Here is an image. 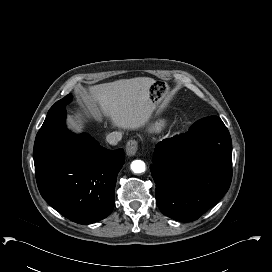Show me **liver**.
<instances>
[{
    "mask_svg": "<svg viewBox=\"0 0 272 272\" xmlns=\"http://www.w3.org/2000/svg\"><path fill=\"white\" fill-rule=\"evenodd\" d=\"M154 80L148 77L121 79L89 88L88 99L99 112L109 117L113 126L122 129H139L150 120L153 105L149 99V87ZM70 126L75 124L70 120Z\"/></svg>",
    "mask_w": 272,
    "mask_h": 272,
    "instance_id": "6515ba94",
    "label": "liver"
}]
</instances>
